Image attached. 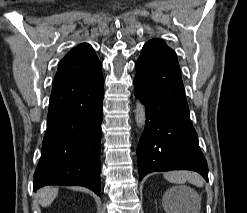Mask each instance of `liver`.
Wrapping results in <instances>:
<instances>
[{
	"label": "liver",
	"mask_w": 247,
	"mask_h": 213,
	"mask_svg": "<svg viewBox=\"0 0 247 213\" xmlns=\"http://www.w3.org/2000/svg\"><path fill=\"white\" fill-rule=\"evenodd\" d=\"M58 194V188L55 187H44L37 192V197L41 206H49Z\"/></svg>",
	"instance_id": "liver-1"
}]
</instances>
